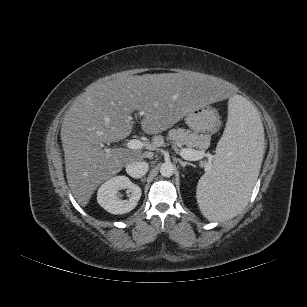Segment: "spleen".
Returning a JSON list of instances; mask_svg holds the SVG:
<instances>
[{"instance_id": "spleen-1", "label": "spleen", "mask_w": 307, "mask_h": 307, "mask_svg": "<svg viewBox=\"0 0 307 307\" xmlns=\"http://www.w3.org/2000/svg\"><path fill=\"white\" fill-rule=\"evenodd\" d=\"M265 152L258 112L245 98H231L211 170L200 178L196 190L199 208L208 220L231 219L247 205Z\"/></svg>"}]
</instances>
